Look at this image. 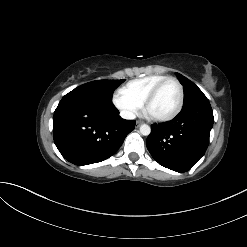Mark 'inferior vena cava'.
Here are the masks:
<instances>
[{
	"instance_id": "obj_1",
	"label": "inferior vena cava",
	"mask_w": 247,
	"mask_h": 247,
	"mask_svg": "<svg viewBox=\"0 0 247 247\" xmlns=\"http://www.w3.org/2000/svg\"><path fill=\"white\" fill-rule=\"evenodd\" d=\"M120 116L124 119H129V120H132V119H135V114L130 112V111H122L120 113Z\"/></svg>"
}]
</instances>
